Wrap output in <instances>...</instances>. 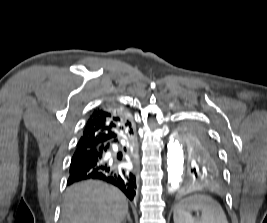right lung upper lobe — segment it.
Listing matches in <instances>:
<instances>
[{"mask_svg": "<svg viewBox=\"0 0 267 223\" xmlns=\"http://www.w3.org/2000/svg\"><path fill=\"white\" fill-rule=\"evenodd\" d=\"M130 127H132V120L126 108L118 105L96 108L85 125L76 151L93 149L120 139Z\"/></svg>", "mask_w": 267, "mask_h": 223, "instance_id": "cb5924a9", "label": "right lung upper lobe"}]
</instances>
